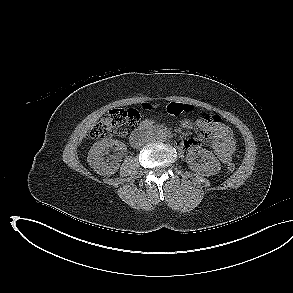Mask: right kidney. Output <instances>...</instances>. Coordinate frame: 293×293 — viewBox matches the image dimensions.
Returning <instances> with one entry per match:
<instances>
[{
    "mask_svg": "<svg viewBox=\"0 0 293 293\" xmlns=\"http://www.w3.org/2000/svg\"><path fill=\"white\" fill-rule=\"evenodd\" d=\"M117 147L119 150H124L125 144L114 139H103L93 144L91 147L87 162L90 167L99 175H112L117 172L120 167L118 160L105 159L104 155L108 153L109 148Z\"/></svg>",
    "mask_w": 293,
    "mask_h": 293,
    "instance_id": "1",
    "label": "right kidney"
}]
</instances>
